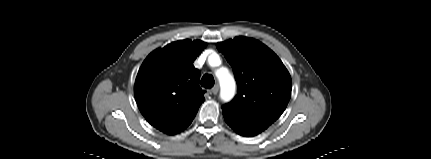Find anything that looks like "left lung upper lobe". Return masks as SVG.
Masks as SVG:
<instances>
[{
	"mask_svg": "<svg viewBox=\"0 0 431 159\" xmlns=\"http://www.w3.org/2000/svg\"><path fill=\"white\" fill-rule=\"evenodd\" d=\"M216 46L232 66L238 85L236 97L222 108L226 123L240 131H264L290 100L288 70L272 50L255 39L240 36Z\"/></svg>",
	"mask_w": 431,
	"mask_h": 159,
	"instance_id": "1",
	"label": "left lung upper lobe"
}]
</instances>
